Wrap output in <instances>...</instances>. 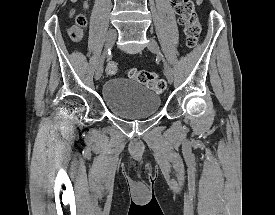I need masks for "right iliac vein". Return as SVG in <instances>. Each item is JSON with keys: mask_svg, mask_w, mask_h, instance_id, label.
Here are the masks:
<instances>
[{"mask_svg": "<svg viewBox=\"0 0 275 215\" xmlns=\"http://www.w3.org/2000/svg\"><path fill=\"white\" fill-rule=\"evenodd\" d=\"M117 37V33L115 30H110L106 37V49H111L115 43ZM106 52L103 53V55L100 57L95 71V79L99 80L103 73V67H104V60H105Z\"/></svg>", "mask_w": 275, "mask_h": 215, "instance_id": "right-iliac-vein-1", "label": "right iliac vein"}]
</instances>
